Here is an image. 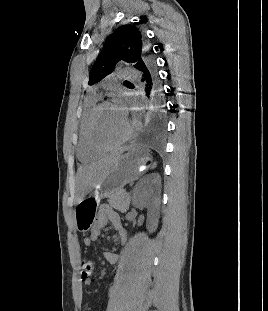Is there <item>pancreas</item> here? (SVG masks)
Listing matches in <instances>:
<instances>
[{
	"label": "pancreas",
	"mask_w": 268,
	"mask_h": 311,
	"mask_svg": "<svg viewBox=\"0 0 268 311\" xmlns=\"http://www.w3.org/2000/svg\"><path fill=\"white\" fill-rule=\"evenodd\" d=\"M108 202L114 209L121 213H126L130 206V196L124 190H120L112 194Z\"/></svg>",
	"instance_id": "cf45deb5"
}]
</instances>
